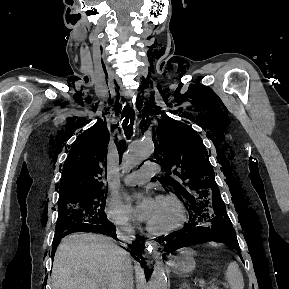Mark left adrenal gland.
I'll list each match as a JSON object with an SVG mask.
<instances>
[{"mask_svg": "<svg viewBox=\"0 0 289 289\" xmlns=\"http://www.w3.org/2000/svg\"><path fill=\"white\" fill-rule=\"evenodd\" d=\"M179 289H190L188 282H183Z\"/></svg>", "mask_w": 289, "mask_h": 289, "instance_id": "a2214340", "label": "left adrenal gland"}]
</instances>
